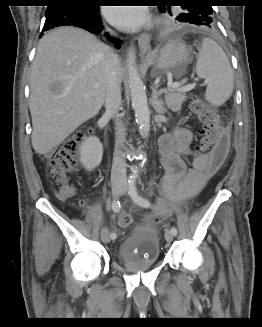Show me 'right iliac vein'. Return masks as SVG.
<instances>
[{"instance_id":"obj_1","label":"right iliac vein","mask_w":262,"mask_h":327,"mask_svg":"<svg viewBox=\"0 0 262 327\" xmlns=\"http://www.w3.org/2000/svg\"><path fill=\"white\" fill-rule=\"evenodd\" d=\"M112 194L114 197H118L122 190V182L120 180L114 181L111 186ZM101 239L104 243H109L111 241L110 233L107 228L101 230Z\"/></svg>"}]
</instances>
